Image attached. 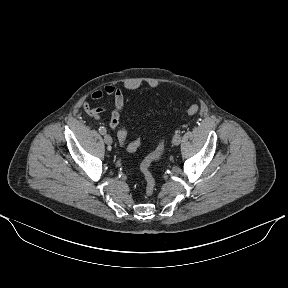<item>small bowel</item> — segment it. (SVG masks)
<instances>
[{
	"label": "small bowel",
	"mask_w": 288,
	"mask_h": 288,
	"mask_svg": "<svg viewBox=\"0 0 288 288\" xmlns=\"http://www.w3.org/2000/svg\"><path fill=\"white\" fill-rule=\"evenodd\" d=\"M104 96H109V97H112L113 99L114 107L110 114L109 125L111 129L116 131L117 135L119 136L122 129H125L123 127H120V118L122 116H125V117L128 116L126 106H125L124 93L121 90V88L115 85H106L101 89L95 90L91 95V99L93 101H99ZM83 108L89 115L93 117H97L101 112L105 110L103 107L94 108L87 101L84 102Z\"/></svg>",
	"instance_id": "c3829d8e"
}]
</instances>
